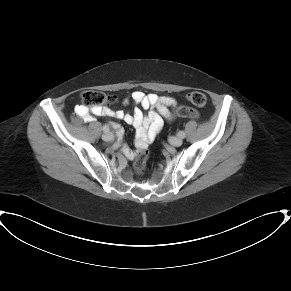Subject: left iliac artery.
<instances>
[{
    "mask_svg": "<svg viewBox=\"0 0 291 291\" xmlns=\"http://www.w3.org/2000/svg\"><path fill=\"white\" fill-rule=\"evenodd\" d=\"M177 135H178V137H180V138H184V137H185V132L180 131V132L177 133Z\"/></svg>",
    "mask_w": 291,
    "mask_h": 291,
    "instance_id": "1",
    "label": "left iliac artery"
}]
</instances>
